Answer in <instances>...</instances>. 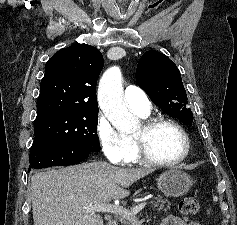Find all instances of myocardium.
<instances>
[{
    "label": "myocardium",
    "mask_w": 237,
    "mask_h": 225,
    "mask_svg": "<svg viewBox=\"0 0 237 225\" xmlns=\"http://www.w3.org/2000/svg\"><path fill=\"white\" fill-rule=\"evenodd\" d=\"M160 125H169L175 128L180 133V135L182 136L184 140V143H185L184 152L182 153L181 156H179L178 158L174 160H160L154 157L149 152L146 146L144 135L148 134L149 132H151L153 129H155L156 127ZM141 126H142L144 135L133 136L134 150H135L137 160L145 164L154 165V166H174L184 161L189 155L190 149H191V142H190L187 132L178 122L172 119H168V118L155 117V118H149V119L144 120Z\"/></svg>",
    "instance_id": "f54148a6"
}]
</instances>
